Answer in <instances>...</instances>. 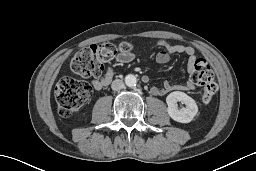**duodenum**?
Here are the masks:
<instances>
[{"instance_id":"obj_1","label":"duodenum","mask_w":256,"mask_h":171,"mask_svg":"<svg viewBox=\"0 0 256 171\" xmlns=\"http://www.w3.org/2000/svg\"><path fill=\"white\" fill-rule=\"evenodd\" d=\"M143 81H144V82H147V79H144Z\"/></svg>"}]
</instances>
